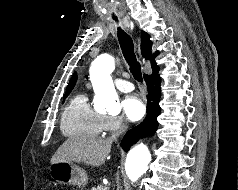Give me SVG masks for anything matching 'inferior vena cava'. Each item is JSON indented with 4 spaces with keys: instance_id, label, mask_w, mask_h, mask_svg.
I'll list each match as a JSON object with an SVG mask.
<instances>
[{
    "instance_id": "1",
    "label": "inferior vena cava",
    "mask_w": 238,
    "mask_h": 190,
    "mask_svg": "<svg viewBox=\"0 0 238 190\" xmlns=\"http://www.w3.org/2000/svg\"><path fill=\"white\" fill-rule=\"evenodd\" d=\"M126 129H127V126L124 123H122L119 131L114 133V134H112V136L109 138V140L110 141H116L117 138L119 137V135L122 134L123 132H125Z\"/></svg>"
}]
</instances>
